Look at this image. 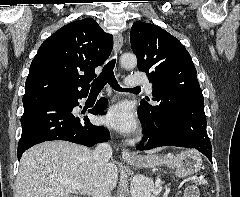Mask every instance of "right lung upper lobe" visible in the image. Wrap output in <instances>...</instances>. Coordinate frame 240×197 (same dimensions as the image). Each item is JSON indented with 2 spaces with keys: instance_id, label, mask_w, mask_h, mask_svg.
Masks as SVG:
<instances>
[{
  "instance_id": "cb5924a9",
  "label": "right lung upper lobe",
  "mask_w": 240,
  "mask_h": 197,
  "mask_svg": "<svg viewBox=\"0 0 240 197\" xmlns=\"http://www.w3.org/2000/svg\"><path fill=\"white\" fill-rule=\"evenodd\" d=\"M113 48L112 35L92 18L71 22L47 38L34 57L23 103L40 98L86 94Z\"/></svg>"
}]
</instances>
